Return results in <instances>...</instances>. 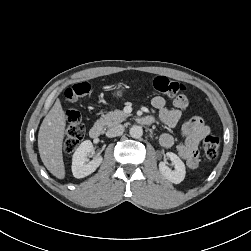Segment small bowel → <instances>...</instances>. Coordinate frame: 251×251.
Returning <instances> with one entry per match:
<instances>
[{
    "label": "small bowel",
    "instance_id": "obj_1",
    "mask_svg": "<svg viewBox=\"0 0 251 251\" xmlns=\"http://www.w3.org/2000/svg\"><path fill=\"white\" fill-rule=\"evenodd\" d=\"M188 99L185 95H179L173 100V108L166 107V101L161 96H155L151 104L158 111L157 116L152 117L168 127H175L182 116V111L188 106ZM183 140L177 144L178 155L186 162L190 169L198 166V145L206 137L211 128L201 117L195 116L186 121L181 128ZM160 143L165 148H170L175 144L174 137L169 133H164L160 137Z\"/></svg>",
    "mask_w": 251,
    "mask_h": 251
}]
</instances>
